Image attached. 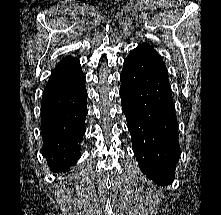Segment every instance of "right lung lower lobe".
Masks as SVG:
<instances>
[{
	"mask_svg": "<svg viewBox=\"0 0 221 215\" xmlns=\"http://www.w3.org/2000/svg\"><path fill=\"white\" fill-rule=\"evenodd\" d=\"M85 76L78 59L56 67L41 103L43 152L55 172L67 170L78 158L87 115Z\"/></svg>",
	"mask_w": 221,
	"mask_h": 215,
	"instance_id": "right-lung-lower-lobe-1",
	"label": "right lung lower lobe"
}]
</instances>
